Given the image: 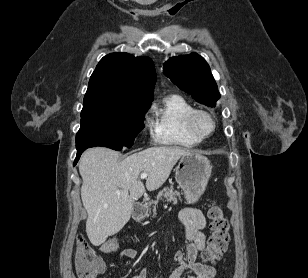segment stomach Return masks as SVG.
Listing matches in <instances>:
<instances>
[{
	"instance_id": "0dacf381",
	"label": "stomach",
	"mask_w": 308,
	"mask_h": 278,
	"mask_svg": "<svg viewBox=\"0 0 308 278\" xmlns=\"http://www.w3.org/2000/svg\"><path fill=\"white\" fill-rule=\"evenodd\" d=\"M212 166L205 156L190 153L181 157L175 168V179L188 203H195L204 193Z\"/></svg>"
}]
</instances>
